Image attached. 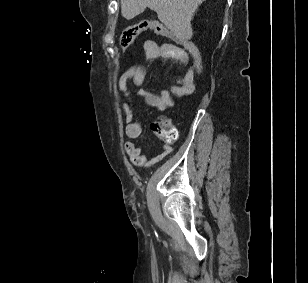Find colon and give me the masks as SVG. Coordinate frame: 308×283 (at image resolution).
Here are the masks:
<instances>
[{"label": "colon", "mask_w": 308, "mask_h": 283, "mask_svg": "<svg viewBox=\"0 0 308 283\" xmlns=\"http://www.w3.org/2000/svg\"><path fill=\"white\" fill-rule=\"evenodd\" d=\"M153 31L162 36H167L177 40L183 49L192 59L194 74L200 76L202 72V57L199 48L192 41L176 38L173 33L164 25L156 22L141 21L124 29L119 38L120 47L125 49L130 46L135 39L144 31ZM194 87L192 88V91ZM152 131L160 138L167 141H174L177 138V131L172 126L169 119L161 118L151 125Z\"/></svg>", "instance_id": "5ec220e1"}]
</instances>
